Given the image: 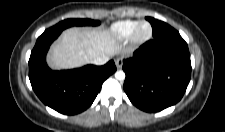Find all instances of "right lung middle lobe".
Segmentation results:
<instances>
[{
	"instance_id": "right-lung-middle-lobe-1",
	"label": "right lung middle lobe",
	"mask_w": 225,
	"mask_h": 132,
	"mask_svg": "<svg viewBox=\"0 0 225 132\" xmlns=\"http://www.w3.org/2000/svg\"><path fill=\"white\" fill-rule=\"evenodd\" d=\"M99 24H100L99 21H94L90 19H67L61 21L60 23L49 29L62 31L71 26H86V25L97 26Z\"/></svg>"
}]
</instances>
